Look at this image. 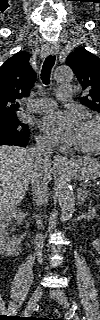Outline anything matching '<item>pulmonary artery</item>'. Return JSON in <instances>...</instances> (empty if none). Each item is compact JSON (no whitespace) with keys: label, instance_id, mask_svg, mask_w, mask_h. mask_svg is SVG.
<instances>
[{"label":"pulmonary artery","instance_id":"1","mask_svg":"<svg viewBox=\"0 0 100 320\" xmlns=\"http://www.w3.org/2000/svg\"><path fill=\"white\" fill-rule=\"evenodd\" d=\"M73 87L71 85H63L58 88V97L60 101H71L73 95ZM56 103L52 99H37L28 103L27 109L31 112L48 111L54 108Z\"/></svg>","mask_w":100,"mask_h":320}]
</instances>
